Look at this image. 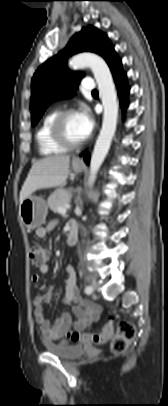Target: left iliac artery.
<instances>
[{
	"label": "left iliac artery",
	"instance_id": "44dca946",
	"mask_svg": "<svg viewBox=\"0 0 168 406\" xmlns=\"http://www.w3.org/2000/svg\"><path fill=\"white\" fill-rule=\"evenodd\" d=\"M93 292V288L91 287V286H86V288H85V293L86 294H91Z\"/></svg>",
	"mask_w": 168,
	"mask_h": 406
}]
</instances>
